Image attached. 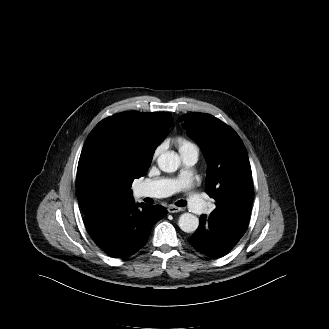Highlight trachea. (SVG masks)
<instances>
[{
	"label": "trachea",
	"mask_w": 329,
	"mask_h": 329,
	"mask_svg": "<svg viewBox=\"0 0 329 329\" xmlns=\"http://www.w3.org/2000/svg\"><path fill=\"white\" fill-rule=\"evenodd\" d=\"M175 204H176L177 206H179V207H184V206H186V201H184V200H179V201H177Z\"/></svg>",
	"instance_id": "trachea-1"
}]
</instances>
